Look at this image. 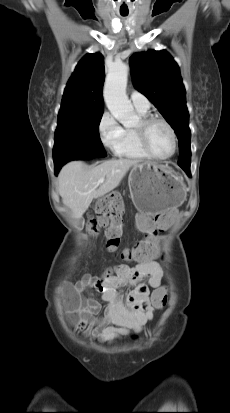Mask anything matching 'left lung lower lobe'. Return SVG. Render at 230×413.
<instances>
[{"label":"left lung lower lobe","instance_id":"1","mask_svg":"<svg viewBox=\"0 0 230 413\" xmlns=\"http://www.w3.org/2000/svg\"><path fill=\"white\" fill-rule=\"evenodd\" d=\"M183 170L187 173L189 177H191L190 168H184Z\"/></svg>","mask_w":230,"mask_h":413}]
</instances>
